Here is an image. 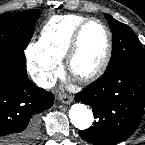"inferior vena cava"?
<instances>
[{
    "mask_svg": "<svg viewBox=\"0 0 145 145\" xmlns=\"http://www.w3.org/2000/svg\"><path fill=\"white\" fill-rule=\"evenodd\" d=\"M34 81L40 86L44 88L52 87L54 86L53 82H48L45 78L41 76H37L34 78Z\"/></svg>",
    "mask_w": 145,
    "mask_h": 145,
    "instance_id": "1",
    "label": "inferior vena cava"
}]
</instances>
